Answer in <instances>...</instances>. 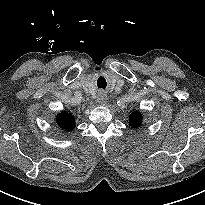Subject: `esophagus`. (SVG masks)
I'll return each instance as SVG.
<instances>
[{
    "instance_id": "obj_1",
    "label": "esophagus",
    "mask_w": 205,
    "mask_h": 205,
    "mask_svg": "<svg viewBox=\"0 0 205 205\" xmlns=\"http://www.w3.org/2000/svg\"><path fill=\"white\" fill-rule=\"evenodd\" d=\"M106 102H107V96L105 94L99 95V97L97 98V103L99 105H105Z\"/></svg>"
}]
</instances>
